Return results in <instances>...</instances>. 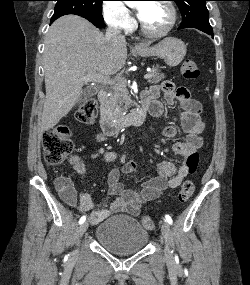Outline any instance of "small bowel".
<instances>
[{"label": "small bowel", "mask_w": 250, "mask_h": 285, "mask_svg": "<svg viewBox=\"0 0 250 285\" xmlns=\"http://www.w3.org/2000/svg\"><path fill=\"white\" fill-rule=\"evenodd\" d=\"M163 96L164 101L159 99ZM181 105V125L186 134L185 141L175 142L172 150L180 159V164H175L170 160H163L157 164L158 176L145 179L141 182V188L138 190L124 189L119 181L121 173L132 174L137 170L133 162L125 163L120 169H113L107 176L109 193L115 196L107 209L92 211L94 203L87 192H82L79 197L70 180L61 178L56 182V188L61 198L68 205L77 208L79 212H90L89 221L91 224H98L106 217L114 213H127L132 216H138L143 204L154 200L160 196L162 191L167 188H176L189 173L186 160L188 156L203 145L201 133L204 129V123L200 117L201 105L192 99L190 92L185 87L175 88L171 82H163L151 87L142 94V101L147 105L149 113L156 118L163 115L164 103L172 105L175 101ZM162 133L168 138H173L177 134L174 125H168L163 128ZM109 135L105 133L97 134L96 141L103 143ZM101 158L105 161H114L117 153L114 151H104ZM70 162L74 170L84 175L86 167L84 162L77 156H73Z\"/></svg>", "instance_id": "small-bowel-1"}]
</instances>
